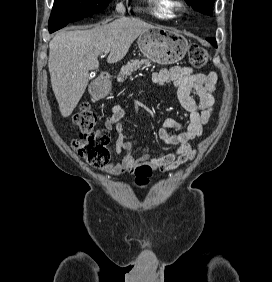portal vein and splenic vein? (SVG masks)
<instances>
[{"label": "portal vein and splenic vein", "mask_w": 272, "mask_h": 282, "mask_svg": "<svg viewBox=\"0 0 272 282\" xmlns=\"http://www.w3.org/2000/svg\"><path fill=\"white\" fill-rule=\"evenodd\" d=\"M109 52H110V49H109V48H106V49L104 50V54H105V55H107Z\"/></svg>", "instance_id": "portal-vein-and-splenic-vein-1"}]
</instances>
